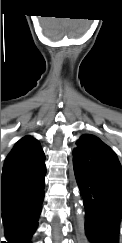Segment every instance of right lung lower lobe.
<instances>
[{"label": "right lung lower lobe", "mask_w": 122, "mask_h": 243, "mask_svg": "<svg viewBox=\"0 0 122 243\" xmlns=\"http://www.w3.org/2000/svg\"><path fill=\"white\" fill-rule=\"evenodd\" d=\"M45 174L43 166L2 183L1 207L7 239L3 243H31L44 199Z\"/></svg>", "instance_id": "1"}]
</instances>
